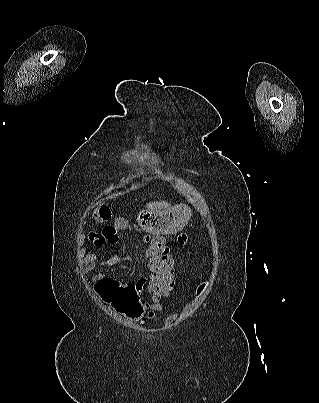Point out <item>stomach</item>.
Instances as JSON below:
<instances>
[{
  "mask_svg": "<svg viewBox=\"0 0 319 403\" xmlns=\"http://www.w3.org/2000/svg\"><path fill=\"white\" fill-rule=\"evenodd\" d=\"M191 217L190 209L178 205L164 211L136 210L138 227L144 229V234H175L182 230Z\"/></svg>",
  "mask_w": 319,
  "mask_h": 403,
  "instance_id": "1",
  "label": "stomach"
}]
</instances>
